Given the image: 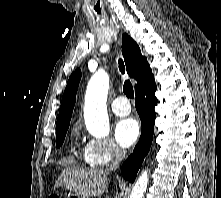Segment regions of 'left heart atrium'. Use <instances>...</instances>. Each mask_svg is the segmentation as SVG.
Returning <instances> with one entry per match:
<instances>
[{"instance_id": "1", "label": "left heart atrium", "mask_w": 221, "mask_h": 198, "mask_svg": "<svg viewBox=\"0 0 221 198\" xmlns=\"http://www.w3.org/2000/svg\"><path fill=\"white\" fill-rule=\"evenodd\" d=\"M140 133L138 122L133 118L120 120L114 130L115 139L120 146L128 148L132 146Z\"/></svg>"}]
</instances>
